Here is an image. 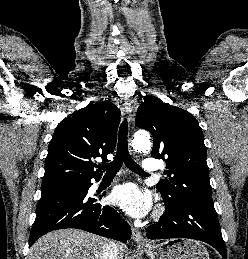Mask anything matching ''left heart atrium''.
I'll return each mask as SVG.
<instances>
[{"label": "left heart atrium", "instance_id": "39dd6f15", "mask_svg": "<svg viewBox=\"0 0 248 259\" xmlns=\"http://www.w3.org/2000/svg\"><path fill=\"white\" fill-rule=\"evenodd\" d=\"M111 201L133 217H142L151 207V196L134 183H126L114 188Z\"/></svg>", "mask_w": 248, "mask_h": 259}]
</instances>
